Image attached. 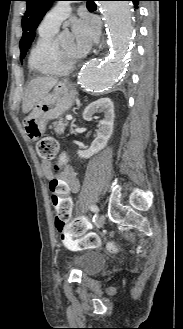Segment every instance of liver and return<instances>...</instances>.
Returning a JSON list of instances; mask_svg holds the SVG:
<instances>
[{
	"mask_svg": "<svg viewBox=\"0 0 183 329\" xmlns=\"http://www.w3.org/2000/svg\"><path fill=\"white\" fill-rule=\"evenodd\" d=\"M57 84L56 79L38 77L31 80L25 91L22 111L28 113Z\"/></svg>",
	"mask_w": 183,
	"mask_h": 329,
	"instance_id": "liver-1",
	"label": "liver"
}]
</instances>
